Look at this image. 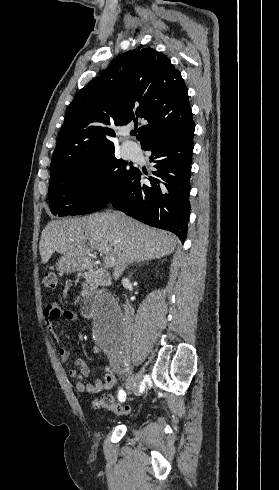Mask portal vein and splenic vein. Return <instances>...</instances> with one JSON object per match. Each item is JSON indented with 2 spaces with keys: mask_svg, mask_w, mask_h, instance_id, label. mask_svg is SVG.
I'll use <instances>...</instances> for the list:
<instances>
[{
  "mask_svg": "<svg viewBox=\"0 0 279 490\" xmlns=\"http://www.w3.org/2000/svg\"><path fill=\"white\" fill-rule=\"evenodd\" d=\"M91 248H98V250H102L98 244H94V242H91L90 244ZM105 268H113L115 266L116 262L113 258V256H108V258H105L104 260Z\"/></svg>",
  "mask_w": 279,
  "mask_h": 490,
  "instance_id": "portal-vein-and-splenic-vein-1",
  "label": "portal vein and splenic vein"
}]
</instances>
